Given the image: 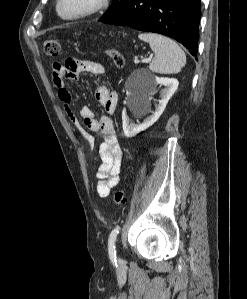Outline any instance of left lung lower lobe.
Wrapping results in <instances>:
<instances>
[{
    "mask_svg": "<svg viewBox=\"0 0 247 299\" xmlns=\"http://www.w3.org/2000/svg\"><path fill=\"white\" fill-rule=\"evenodd\" d=\"M201 0H127L103 23L160 33L197 55Z\"/></svg>",
    "mask_w": 247,
    "mask_h": 299,
    "instance_id": "left-lung-lower-lobe-1",
    "label": "left lung lower lobe"
}]
</instances>
